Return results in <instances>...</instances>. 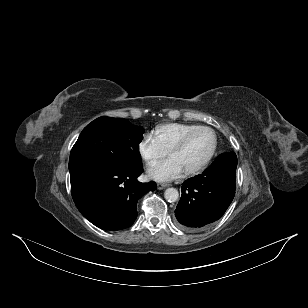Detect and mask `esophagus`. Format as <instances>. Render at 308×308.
Segmentation results:
<instances>
[{
  "label": "esophagus",
  "mask_w": 308,
  "mask_h": 308,
  "mask_svg": "<svg viewBox=\"0 0 308 308\" xmlns=\"http://www.w3.org/2000/svg\"><path fill=\"white\" fill-rule=\"evenodd\" d=\"M166 187H168L167 183H158L157 184V189H159V190L165 189Z\"/></svg>",
  "instance_id": "obj_1"
}]
</instances>
